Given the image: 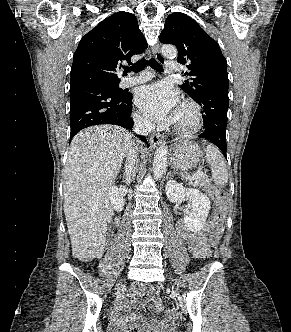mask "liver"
I'll return each mask as SVG.
<instances>
[{"label": "liver", "mask_w": 291, "mask_h": 332, "mask_svg": "<svg viewBox=\"0 0 291 332\" xmlns=\"http://www.w3.org/2000/svg\"><path fill=\"white\" fill-rule=\"evenodd\" d=\"M131 146V134L112 125L92 126L73 138L64 170L63 195L74 258L102 257L107 221L113 214L110 188Z\"/></svg>", "instance_id": "obj_1"}]
</instances>
